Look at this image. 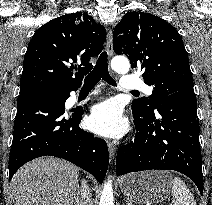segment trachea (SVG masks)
<instances>
[{
	"label": "trachea",
	"instance_id": "1",
	"mask_svg": "<svg viewBox=\"0 0 212 205\" xmlns=\"http://www.w3.org/2000/svg\"><path fill=\"white\" fill-rule=\"evenodd\" d=\"M101 79L112 86H116L115 80L108 71L107 53L105 51L99 56L91 73L85 77L83 87L92 89ZM132 93H138V91H132Z\"/></svg>",
	"mask_w": 212,
	"mask_h": 205
}]
</instances>
